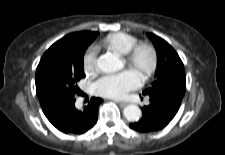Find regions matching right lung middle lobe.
I'll return each mask as SVG.
<instances>
[{
    "mask_svg": "<svg viewBox=\"0 0 225 155\" xmlns=\"http://www.w3.org/2000/svg\"><path fill=\"white\" fill-rule=\"evenodd\" d=\"M87 46L60 48L51 46L41 58L36 69V93L38 98L51 102L60 98H72L84 77L83 57Z\"/></svg>",
    "mask_w": 225,
    "mask_h": 155,
    "instance_id": "dd1d6c3e",
    "label": "right lung middle lobe"
}]
</instances>
